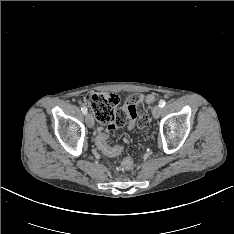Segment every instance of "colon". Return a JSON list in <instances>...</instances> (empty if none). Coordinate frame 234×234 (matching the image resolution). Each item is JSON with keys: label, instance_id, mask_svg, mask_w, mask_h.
<instances>
[{"label": "colon", "instance_id": "1", "mask_svg": "<svg viewBox=\"0 0 234 234\" xmlns=\"http://www.w3.org/2000/svg\"><path fill=\"white\" fill-rule=\"evenodd\" d=\"M84 100L92 108L97 120L100 123L107 124L105 128L99 127L96 130L94 140L99 150L108 157L120 155L123 151V146H111L108 143V139L113 136L114 130H119V127H122L127 121L125 113L117 110L118 97L112 93H89L85 96ZM145 100L147 103H152L158 100V97L148 94ZM136 133H139V130H136ZM134 137H138V134H134ZM140 147H143V143H140ZM140 151L141 148L136 149L133 156H138V152ZM133 166L134 161L130 157L122 162V167L125 170H131Z\"/></svg>", "mask_w": 234, "mask_h": 234}]
</instances>
